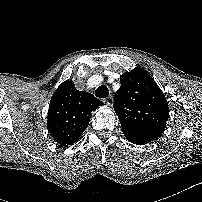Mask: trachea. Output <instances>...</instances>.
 Wrapping results in <instances>:
<instances>
[{
  "mask_svg": "<svg viewBox=\"0 0 202 202\" xmlns=\"http://www.w3.org/2000/svg\"><path fill=\"white\" fill-rule=\"evenodd\" d=\"M95 95L99 98H106L109 95V89L107 86L105 85H100L96 91H95Z\"/></svg>",
  "mask_w": 202,
  "mask_h": 202,
  "instance_id": "trachea-1",
  "label": "trachea"
}]
</instances>
